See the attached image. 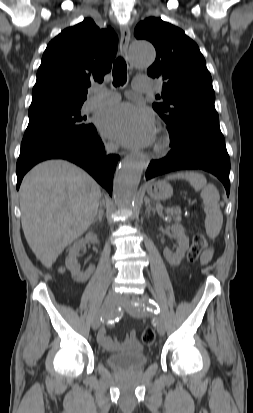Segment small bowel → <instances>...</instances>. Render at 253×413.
<instances>
[{"label": "small bowel", "instance_id": "c3829d8e", "mask_svg": "<svg viewBox=\"0 0 253 413\" xmlns=\"http://www.w3.org/2000/svg\"><path fill=\"white\" fill-rule=\"evenodd\" d=\"M213 256V249L208 248L201 256V263L207 264ZM98 342L107 350L117 351L123 347L137 348L138 342L136 338L135 330H131L125 337L124 343L121 344L114 338H112L105 327H102L97 334Z\"/></svg>", "mask_w": 253, "mask_h": 413}]
</instances>
